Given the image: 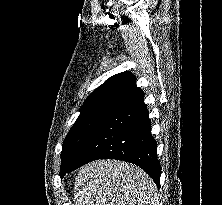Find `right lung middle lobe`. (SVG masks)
I'll return each instance as SVG.
<instances>
[{
    "label": "right lung middle lobe",
    "instance_id": "1",
    "mask_svg": "<svg viewBox=\"0 0 222 205\" xmlns=\"http://www.w3.org/2000/svg\"><path fill=\"white\" fill-rule=\"evenodd\" d=\"M107 112L94 111L79 115L62 145L60 176L70 166L86 138Z\"/></svg>",
    "mask_w": 222,
    "mask_h": 205
}]
</instances>
